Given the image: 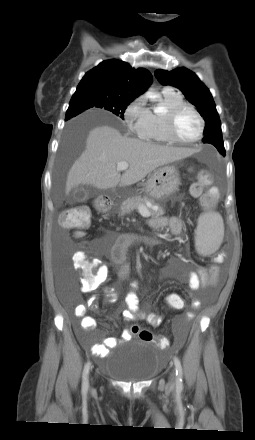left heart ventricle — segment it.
I'll return each mask as SVG.
<instances>
[{"label":"left heart ventricle","mask_w":255,"mask_h":440,"mask_svg":"<svg viewBox=\"0 0 255 440\" xmlns=\"http://www.w3.org/2000/svg\"><path fill=\"white\" fill-rule=\"evenodd\" d=\"M176 134L185 141L198 135L200 124L197 116L190 110L183 111L176 120Z\"/></svg>","instance_id":"left-heart-ventricle-1"}]
</instances>
